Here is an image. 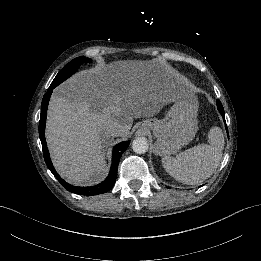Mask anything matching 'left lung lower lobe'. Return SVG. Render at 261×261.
Segmentation results:
<instances>
[{"instance_id":"0a47b994","label":"left lung lower lobe","mask_w":261,"mask_h":261,"mask_svg":"<svg viewBox=\"0 0 261 261\" xmlns=\"http://www.w3.org/2000/svg\"><path fill=\"white\" fill-rule=\"evenodd\" d=\"M217 108H218V110L220 111V114H221L222 116H224V109H223V106H222L220 100H217ZM226 130H227V133H228L227 126H226Z\"/></svg>"}]
</instances>
